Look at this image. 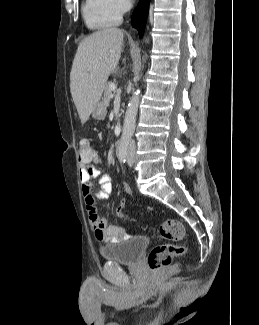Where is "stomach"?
<instances>
[{
  "label": "stomach",
  "instance_id": "0dacf381",
  "mask_svg": "<svg viewBox=\"0 0 259 325\" xmlns=\"http://www.w3.org/2000/svg\"><path fill=\"white\" fill-rule=\"evenodd\" d=\"M106 113V106L102 102H98L93 111H92V117L96 120H101Z\"/></svg>",
  "mask_w": 259,
  "mask_h": 325
}]
</instances>
